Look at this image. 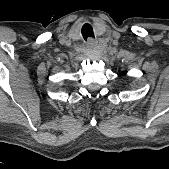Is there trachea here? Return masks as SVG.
<instances>
[{"label":"trachea","mask_w":169,"mask_h":169,"mask_svg":"<svg viewBox=\"0 0 169 169\" xmlns=\"http://www.w3.org/2000/svg\"><path fill=\"white\" fill-rule=\"evenodd\" d=\"M81 33L85 41L89 38H94L93 28L89 23H85L82 26Z\"/></svg>","instance_id":"3493384b"}]
</instances>
